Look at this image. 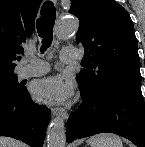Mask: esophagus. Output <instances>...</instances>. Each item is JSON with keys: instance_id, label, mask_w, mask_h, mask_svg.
<instances>
[{"instance_id": "34e87169", "label": "esophagus", "mask_w": 145, "mask_h": 147, "mask_svg": "<svg viewBox=\"0 0 145 147\" xmlns=\"http://www.w3.org/2000/svg\"><path fill=\"white\" fill-rule=\"evenodd\" d=\"M54 3H56V0H52ZM51 114L53 117L61 116L63 119L68 118V113L65 109L61 107H52L51 108Z\"/></svg>"}]
</instances>
